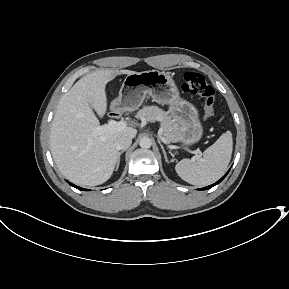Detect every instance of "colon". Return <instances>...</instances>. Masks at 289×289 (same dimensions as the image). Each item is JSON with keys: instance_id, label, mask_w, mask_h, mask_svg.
<instances>
[{"instance_id": "1", "label": "colon", "mask_w": 289, "mask_h": 289, "mask_svg": "<svg viewBox=\"0 0 289 289\" xmlns=\"http://www.w3.org/2000/svg\"><path fill=\"white\" fill-rule=\"evenodd\" d=\"M183 92L196 95L204 100V119L213 117L215 111V91L205 76L197 72H185L182 77Z\"/></svg>"}]
</instances>
